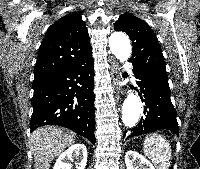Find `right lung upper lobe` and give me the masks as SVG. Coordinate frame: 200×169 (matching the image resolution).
Listing matches in <instances>:
<instances>
[{
	"instance_id": "right-lung-upper-lobe-1",
	"label": "right lung upper lobe",
	"mask_w": 200,
	"mask_h": 169,
	"mask_svg": "<svg viewBox=\"0 0 200 169\" xmlns=\"http://www.w3.org/2000/svg\"><path fill=\"white\" fill-rule=\"evenodd\" d=\"M90 38L78 12L51 25L42 41L34 79L70 69L91 55Z\"/></svg>"
}]
</instances>
